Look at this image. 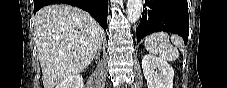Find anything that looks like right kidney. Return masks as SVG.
<instances>
[{
	"instance_id": "1",
	"label": "right kidney",
	"mask_w": 227,
	"mask_h": 88,
	"mask_svg": "<svg viewBox=\"0 0 227 88\" xmlns=\"http://www.w3.org/2000/svg\"><path fill=\"white\" fill-rule=\"evenodd\" d=\"M84 82L81 75H73L61 81L56 88H83Z\"/></svg>"
}]
</instances>
